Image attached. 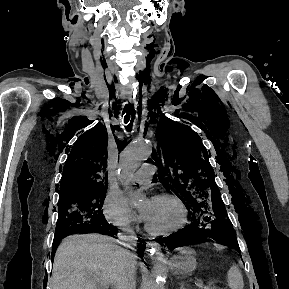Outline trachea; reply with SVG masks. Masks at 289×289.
Returning <instances> with one entry per match:
<instances>
[{
    "label": "trachea",
    "mask_w": 289,
    "mask_h": 289,
    "mask_svg": "<svg viewBox=\"0 0 289 289\" xmlns=\"http://www.w3.org/2000/svg\"><path fill=\"white\" fill-rule=\"evenodd\" d=\"M134 117H135V110H134V108H133V107H128V108L126 109V115H125V117H124V122H125L126 124L130 121V123L128 124V126H126V129H127L128 131H130L131 128H132V122H133V120H134Z\"/></svg>",
    "instance_id": "obj_1"
}]
</instances>
